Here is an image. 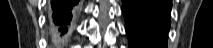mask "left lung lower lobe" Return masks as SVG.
Here are the masks:
<instances>
[{
    "mask_svg": "<svg viewBox=\"0 0 213 48\" xmlns=\"http://www.w3.org/2000/svg\"><path fill=\"white\" fill-rule=\"evenodd\" d=\"M171 0H122L130 48H167Z\"/></svg>",
    "mask_w": 213,
    "mask_h": 48,
    "instance_id": "left-lung-lower-lobe-1",
    "label": "left lung lower lobe"
}]
</instances>
